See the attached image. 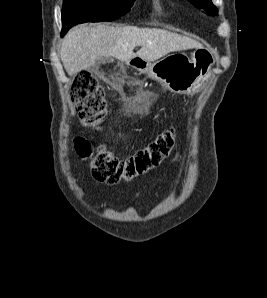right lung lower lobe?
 <instances>
[{"mask_svg":"<svg viewBox=\"0 0 267 298\" xmlns=\"http://www.w3.org/2000/svg\"><path fill=\"white\" fill-rule=\"evenodd\" d=\"M64 33H66V31H65V30H62V35H63Z\"/></svg>","mask_w":267,"mask_h":298,"instance_id":"98d812e1","label":"right lung lower lobe"}]
</instances>
